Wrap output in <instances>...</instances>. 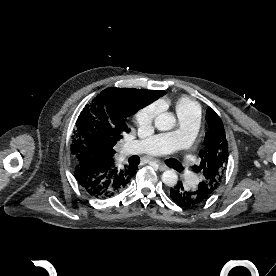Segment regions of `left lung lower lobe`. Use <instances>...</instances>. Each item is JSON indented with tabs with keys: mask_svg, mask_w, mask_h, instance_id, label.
Segmentation results:
<instances>
[{
	"mask_svg": "<svg viewBox=\"0 0 276 276\" xmlns=\"http://www.w3.org/2000/svg\"><path fill=\"white\" fill-rule=\"evenodd\" d=\"M169 195L171 199L181 207H197L207 201L210 197V191L205 186L196 188H187L182 182L173 186Z\"/></svg>",
	"mask_w": 276,
	"mask_h": 276,
	"instance_id": "left-lung-lower-lobe-1",
	"label": "left lung lower lobe"
}]
</instances>
